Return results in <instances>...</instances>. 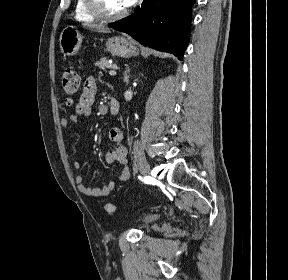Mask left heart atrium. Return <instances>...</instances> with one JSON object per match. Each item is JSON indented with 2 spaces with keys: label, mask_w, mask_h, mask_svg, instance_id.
I'll return each mask as SVG.
<instances>
[{
  "label": "left heart atrium",
  "mask_w": 288,
  "mask_h": 280,
  "mask_svg": "<svg viewBox=\"0 0 288 280\" xmlns=\"http://www.w3.org/2000/svg\"><path fill=\"white\" fill-rule=\"evenodd\" d=\"M136 2V0H122L123 6L125 8L133 5Z\"/></svg>",
  "instance_id": "39dd6f15"
}]
</instances>
